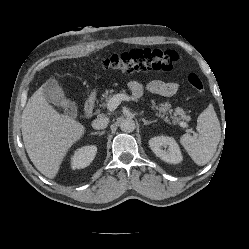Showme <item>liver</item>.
I'll use <instances>...</instances> for the list:
<instances>
[{
    "label": "liver",
    "instance_id": "6515ba94",
    "mask_svg": "<svg viewBox=\"0 0 249 249\" xmlns=\"http://www.w3.org/2000/svg\"><path fill=\"white\" fill-rule=\"evenodd\" d=\"M21 118L30 160L43 175L53 179L70 147L84 135L85 127L49 105L43 86L28 99Z\"/></svg>",
    "mask_w": 249,
    "mask_h": 249
}]
</instances>
